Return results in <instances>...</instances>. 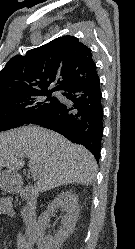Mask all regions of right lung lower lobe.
<instances>
[{
    "instance_id": "1",
    "label": "right lung lower lobe",
    "mask_w": 135,
    "mask_h": 249,
    "mask_svg": "<svg viewBox=\"0 0 135 249\" xmlns=\"http://www.w3.org/2000/svg\"><path fill=\"white\" fill-rule=\"evenodd\" d=\"M63 96L69 100L68 103L58 101L51 108L31 118L29 123L52 129L67 139L85 146L98 162L103 137V106L99 76L68 87Z\"/></svg>"
}]
</instances>
